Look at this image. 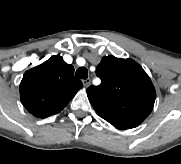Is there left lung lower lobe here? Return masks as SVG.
I'll use <instances>...</instances> for the list:
<instances>
[{
    "label": "left lung lower lobe",
    "instance_id": "left-lung-lower-lobe-1",
    "mask_svg": "<svg viewBox=\"0 0 181 164\" xmlns=\"http://www.w3.org/2000/svg\"><path fill=\"white\" fill-rule=\"evenodd\" d=\"M117 128H119V129H127V128H122V127H117Z\"/></svg>",
    "mask_w": 181,
    "mask_h": 164
}]
</instances>
